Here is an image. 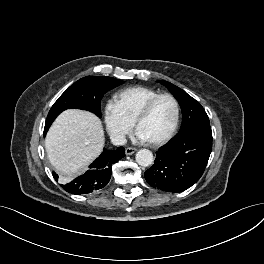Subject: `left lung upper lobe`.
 Wrapping results in <instances>:
<instances>
[{
    "label": "left lung upper lobe",
    "mask_w": 264,
    "mask_h": 264,
    "mask_svg": "<svg viewBox=\"0 0 264 264\" xmlns=\"http://www.w3.org/2000/svg\"><path fill=\"white\" fill-rule=\"evenodd\" d=\"M160 83L171 91L181 107L183 118L179 135L187 134L201 126H210L208 116L199 102L170 82L160 81Z\"/></svg>",
    "instance_id": "obj_1"
}]
</instances>
